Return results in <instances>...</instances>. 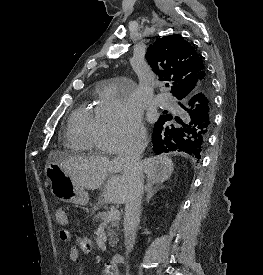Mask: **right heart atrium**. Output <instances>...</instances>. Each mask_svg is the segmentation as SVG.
Returning a JSON list of instances; mask_svg holds the SVG:
<instances>
[{
	"instance_id": "1",
	"label": "right heart atrium",
	"mask_w": 263,
	"mask_h": 275,
	"mask_svg": "<svg viewBox=\"0 0 263 275\" xmlns=\"http://www.w3.org/2000/svg\"><path fill=\"white\" fill-rule=\"evenodd\" d=\"M145 137L141 112L133 97L115 89L107 90L100 104L99 148L117 153L142 143Z\"/></svg>"
}]
</instances>
